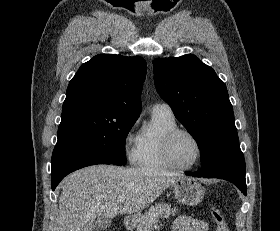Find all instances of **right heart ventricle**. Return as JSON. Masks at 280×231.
<instances>
[{
	"label": "right heart ventricle",
	"instance_id": "1",
	"mask_svg": "<svg viewBox=\"0 0 280 231\" xmlns=\"http://www.w3.org/2000/svg\"><path fill=\"white\" fill-rule=\"evenodd\" d=\"M179 127L173 113L153 111L150 123L142 128L137 164L148 169H173L164 159L162 140L164 135Z\"/></svg>",
	"mask_w": 280,
	"mask_h": 231
}]
</instances>
